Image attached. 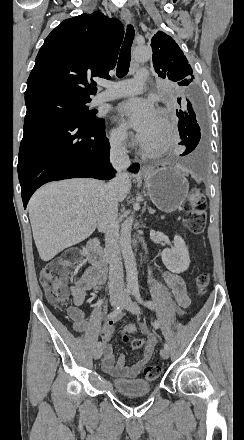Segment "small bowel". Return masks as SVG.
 I'll return each mask as SVG.
<instances>
[{"label": "small bowel", "mask_w": 244, "mask_h": 440, "mask_svg": "<svg viewBox=\"0 0 244 440\" xmlns=\"http://www.w3.org/2000/svg\"><path fill=\"white\" fill-rule=\"evenodd\" d=\"M163 279L172 293V299L164 305L165 311L174 312L182 316L184 310L190 306V299L187 295L184 280L179 274L172 271H165L163 273ZM105 282L106 273H102L92 266L86 268L77 278L72 288L71 294L73 303H78L79 306H81L85 302L87 293L92 289L103 286ZM139 330L147 336L144 354L141 359L131 366L126 365V356L124 354H120L115 358L113 345L111 343L116 333L115 327L110 324L99 333V337L104 343L101 367L105 373L118 380L134 379L139 375L143 367L152 358L155 348L159 343L158 335L151 331L144 323H141L140 327H137V332Z\"/></svg>", "instance_id": "small-bowel-1"}]
</instances>
